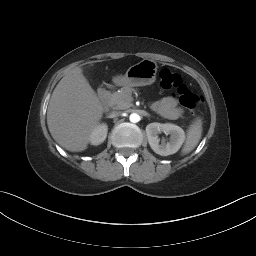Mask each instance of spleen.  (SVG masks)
I'll use <instances>...</instances> for the list:
<instances>
[{"instance_id":"obj_1","label":"spleen","mask_w":256,"mask_h":256,"mask_svg":"<svg viewBox=\"0 0 256 256\" xmlns=\"http://www.w3.org/2000/svg\"><path fill=\"white\" fill-rule=\"evenodd\" d=\"M202 135V120L197 118L189 127L182 154L190 153L199 143Z\"/></svg>"}]
</instances>
